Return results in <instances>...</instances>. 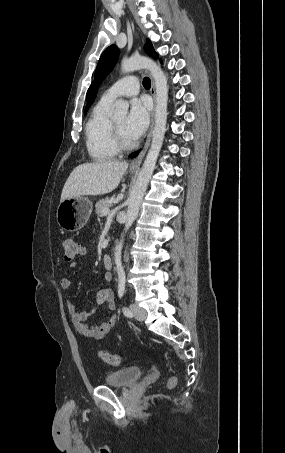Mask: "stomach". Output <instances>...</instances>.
<instances>
[{
	"mask_svg": "<svg viewBox=\"0 0 285 453\" xmlns=\"http://www.w3.org/2000/svg\"><path fill=\"white\" fill-rule=\"evenodd\" d=\"M92 209V202L86 197L78 196L65 199L57 207V223L65 231H77L87 223Z\"/></svg>",
	"mask_w": 285,
	"mask_h": 453,
	"instance_id": "1",
	"label": "stomach"
}]
</instances>
